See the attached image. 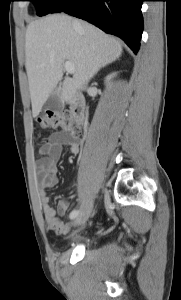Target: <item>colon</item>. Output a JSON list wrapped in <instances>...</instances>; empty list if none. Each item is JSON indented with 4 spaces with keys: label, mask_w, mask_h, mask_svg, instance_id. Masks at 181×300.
Listing matches in <instances>:
<instances>
[{
    "label": "colon",
    "mask_w": 181,
    "mask_h": 300,
    "mask_svg": "<svg viewBox=\"0 0 181 300\" xmlns=\"http://www.w3.org/2000/svg\"><path fill=\"white\" fill-rule=\"evenodd\" d=\"M38 124L42 128L61 129L64 133L78 135L79 129L76 127L67 113L47 110L38 118Z\"/></svg>",
    "instance_id": "colon-1"
}]
</instances>
